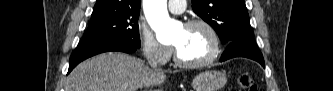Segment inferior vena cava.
I'll return each instance as SVG.
<instances>
[{
    "mask_svg": "<svg viewBox=\"0 0 333 91\" xmlns=\"http://www.w3.org/2000/svg\"><path fill=\"white\" fill-rule=\"evenodd\" d=\"M150 65L155 71H160L161 70V68L154 62H150Z\"/></svg>",
    "mask_w": 333,
    "mask_h": 91,
    "instance_id": "inferior-vena-cava-1",
    "label": "inferior vena cava"
}]
</instances>
